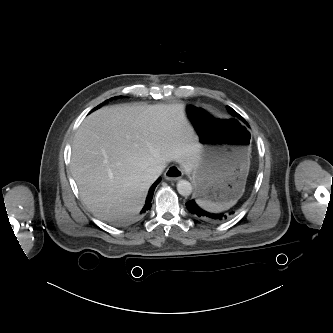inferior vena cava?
<instances>
[{
	"instance_id": "obj_1",
	"label": "inferior vena cava",
	"mask_w": 333,
	"mask_h": 333,
	"mask_svg": "<svg viewBox=\"0 0 333 333\" xmlns=\"http://www.w3.org/2000/svg\"><path fill=\"white\" fill-rule=\"evenodd\" d=\"M164 168H165V165H158L156 167H150L147 170L146 177H148L152 180H156L161 175Z\"/></svg>"
}]
</instances>
